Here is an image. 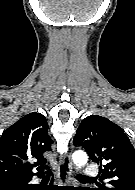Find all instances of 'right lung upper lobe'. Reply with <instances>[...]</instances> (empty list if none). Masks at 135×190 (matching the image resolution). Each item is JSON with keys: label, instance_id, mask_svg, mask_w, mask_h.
<instances>
[{"label": "right lung upper lobe", "instance_id": "1", "mask_svg": "<svg viewBox=\"0 0 135 190\" xmlns=\"http://www.w3.org/2000/svg\"><path fill=\"white\" fill-rule=\"evenodd\" d=\"M48 124L41 113H29L10 126L0 138V181L22 180L27 185L37 167L44 174L47 160L43 154L52 150ZM36 159L33 164L30 160Z\"/></svg>", "mask_w": 135, "mask_h": 190}]
</instances>
